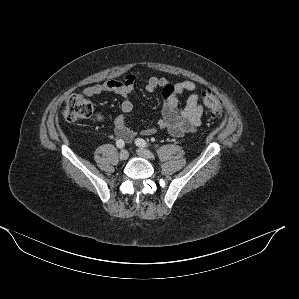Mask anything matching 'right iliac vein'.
Masks as SVG:
<instances>
[{"label":"right iliac vein","instance_id":"63e3f726","mask_svg":"<svg viewBox=\"0 0 299 299\" xmlns=\"http://www.w3.org/2000/svg\"><path fill=\"white\" fill-rule=\"evenodd\" d=\"M121 160H127L129 157V153L127 150H122L119 154Z\"/></svg>","mask_w":299,"mask_h":299}]
</instances>
